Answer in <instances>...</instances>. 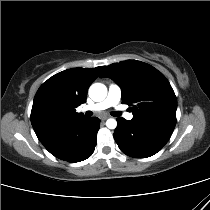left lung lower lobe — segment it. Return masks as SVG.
I'll use <instances>...</instances> for the list:
<instances>
[{"instance_id": "1", "label": "left lung lower lobe", "mask_w": 210, "mask_h": 210, "mask_svg": "<svg viewBox=\"0 0 210 210\" xmlns=\"http://www.w3.org/2000/svg\"><path fill=\"white\" fill-rule=\"evenodd\" d=\"M114 139L120 150L134 158H146L156 154L170 139L174 128L155 124L134 123L117 119Z\"/></svg>"}]
</instances>
